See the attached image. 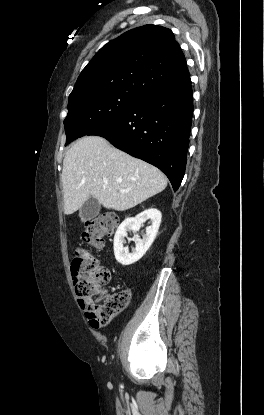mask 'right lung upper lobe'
I'll list each match as a JSON object with an SVG mask.
<instances>
[{"label": "right lung upper lobe", "instance_id": "cb5924a9", "mask_svg": "<svg viewBox=\"0 0 264 415\" xmlns=\"http://www.w3.org/2000/svg\"><path fill=\"white\" fill-rule=\"evenodd\" d=\"M189 76L172 31L144 25L102 47L82 70L69 99L112 91L143 97Z\"/></svg>", "mask_w": 264, "mask_h": 415}]
</instances>
